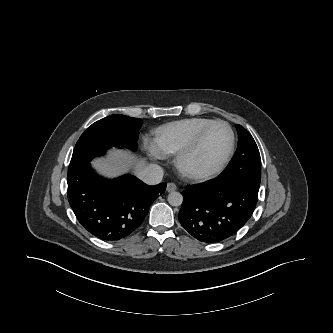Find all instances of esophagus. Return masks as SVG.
<instances>
[{
  "label": "esophagus",
  "instance_id": "34e87169",
  "mask_svg": "<svg viewBox=\"0 0 333 333\" xmlns=\"http://www.w3.org/2000/svg\"><path fill=\"white\" fill-rule=\"evenodd\" d=\"M177 189V185L176 184H174V183H168L167 184V188H166V190L168 191V192H173V191H175Z\"/></svg>",
  "mask_w": 333,
  "mask_h": 333
}]
</instances>
